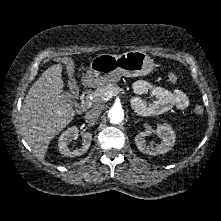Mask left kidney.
Listing matches in <instances>:
<instances>
[{
    "mask_svg": "<svg viewBox=\"0 0 221 221\" xmlns=\"http://www.w3.org/2000/svg\"><path fill=\"white\" fill-rule=\"evenodd\" d=\"M156 132L161 136L162 141L155 148L146 145L145 138L150 132H140L135 137L137 148L148 155H157L167 153L175 142V133L169 124H158Z\"/></svg>",
    "mask_w": 221,
    "mask_h": 221,
    "instance_id": "left-kidney-1",
    "label": "left kidney"
}]
</instances>
